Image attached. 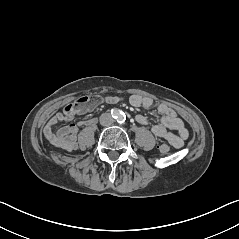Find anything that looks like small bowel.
Returning a JSON list of instances; mask_svg holds the SVG:
<instances>
[{
  "label": "small bowel",
  "instance_id": "small-bowel-1",
  "mask_svg": "<svg viewBox=\"0 0 239 239\" xmlns=\"http://www.w3.org/2000/svg\"><path fill=\"white\" fill-rule=\"evenodd\" d=\"M105 102L116 104L122 100L117 96L105 97ZM129 103L133 107L156 108L161 115L160 121L151 125L149 119L142 115H136V121L143 126H150L151 132L158 138L165 139L173 146L180 148L184 141L188 138V130L184 122L178 117L177 113L165 103H157L152 98L134 94L130 96ZM94 104L85 108L77 109L75 103L67 105L62 112L53 116L44 127L45 139L53 146L65 151H73L77 148V133L79 129L90 123V121H82L72 123L67 126L55 130L54 127L58 123L68 122L77 114H82L90 110Z\"/></svg>",
  "mask_w": 239,
  "mask_h": 239
}]
</instances>
